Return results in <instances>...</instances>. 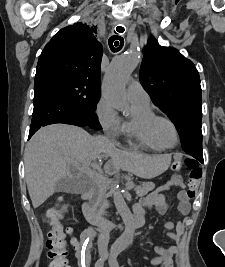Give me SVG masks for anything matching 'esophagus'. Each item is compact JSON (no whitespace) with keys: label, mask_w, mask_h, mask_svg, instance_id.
Returning a JSON list of instances; mask_svg holds the SVG:
<instances>
[{"label":"esophagus","mask_w":225,"mask_h":267,"mask_svg":"<svg viewBox=\"0 0 225 267\" xmlns=\"http://www.w3.org/2000/svg\"><path fill=\"white\" fill-rule=\"evenodd\" d=\"M119 25H122V26H124V25H127V22L126 21H124V22H122L121 24H119ZM117 31V30H116ZM117 33H119V32H117Z\"/></svg>","instance_id":"34e87169"}]
</instances>
